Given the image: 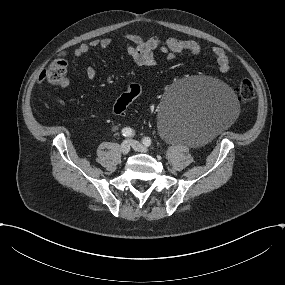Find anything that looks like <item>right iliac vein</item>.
I'll return each mask as SVG.
<instances>
[{"mask_svg":"<svg viewBox=\"0 0 285 285\" xmlns=\"http://www.w3.org/2000/svg\"><path fill=\"white\" fill-rule=\"evenodd\" d=\"M130 151V143L129 141H123L121 144V152L123 155H127Z\"/></svg>","mask_w":285,"mask_h":285,"instance_id":"63e3f726","label":"right iliac vein"}]
</instances>
